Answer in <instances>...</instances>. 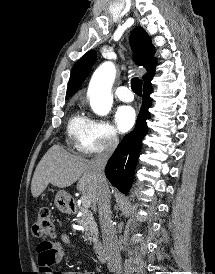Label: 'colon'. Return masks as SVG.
I'll list each match as a JSON object with an SVG mask.
<instances>
[{"instance_id": "colon-1", "label": "colon", "mask_w": 215, "mask_h": 274, "mask_svg": "<svg viewBox=\"0 0 215 274\" xmlns=\"http://www.w3.org/2000/svg\"><path fill=\"white\" fill-rule=\"evenodd\" d=\"M33 234L44 242H51L55 236V227L51 220L50 210L42 207L39 210L36 221L33 224Z\"/></svg>"}]
</instances>
